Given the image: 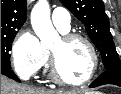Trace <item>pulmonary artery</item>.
<instances>
[{"instance_id": "pulmonary-artery-1", "label": "pulmonary artery", "mask_w": 121, "mask_h": 94, "mask_svg": "<svg viewBox=\"0 0 121 94\" xmlns=\"http://www.w3.org/2000/svg\"><path fill=\"white\" fill-rule=\"evenodd\" d=\"M53 24L62 32H66L70 28V14L64 8H56L52 13Z\"/></svg>"}]
</instances>
